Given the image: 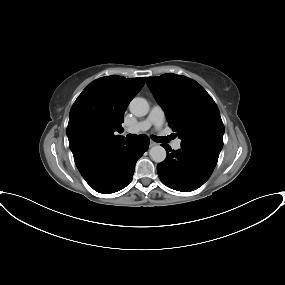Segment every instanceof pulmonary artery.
<instances>
[{"instance_id": "obj_1", "label": "pulmonary artery", "mask_w": 285, "mask_h": 285, "mask_svg": "<svg viewBox=\"0 0 285 285\" xmlns=\"http://www.w3.org/2000/svg\"><path fill=\"white\" fill-rule=\"evenodd\" d=\"M164 119H165V114H164L163 109L158 105H154L151 108L150 113L144 120L138 122L133 127L127 128L126 132L134 134V133H138L141 131H146L151 126H154L156 129H161L164 123ZM181 142L182 141L180 139L174 140L172 142V147L176 150L180 149Z\"/></svg>"}]
</instances>
